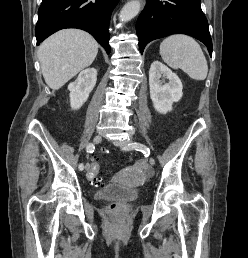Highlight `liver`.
<instances>
[{
    "label": "liver",
    "instance_id": "liver-1",
    "mask_svg": "<svg viewBox=\"0 0 248 258\" xmlns=\"http://www.w3.org/2000/svg\"><path fill=\"white\" fill-rule=\"evenodd\" d=\"M98 53V43L79 29L61 30L41 43L38 58L47 85L60 89L80 71L90 66Z\"/></svg>",
    "mask_w": 248,
    "mask_h": 258
}]
</instances>
